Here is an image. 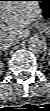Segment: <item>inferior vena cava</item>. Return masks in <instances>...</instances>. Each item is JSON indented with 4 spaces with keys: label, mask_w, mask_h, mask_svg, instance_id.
Returning a JSON list of instances; mask_svg holds the SVG:
<instances>
[{
    "label": "inferior vena cava",
    "mask_w": 50,
    "mask_h": 111,
    "mask_svg": "<svg viewBox=\"0 0 50 111\" xmlns=\"http://www.w3.org/2000/svg\"><path fill=\"white\" fill-rule=\"evenodd\" d=\"M20 37L19 36H6L2 39L3 43L1 45V48L5 46H12L16 44L19 41Z\"/></svg>",
    "instance_id": "1"
}]
</instances>
